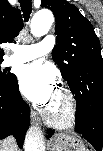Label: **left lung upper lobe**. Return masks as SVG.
<instances>
[{
  "label": "left lung upper lobe",
  "instance_id": "left-lung-upper-lobe-1",
  "mask_svg": "<svg viewBox=\"0 0 103 151\" xmlns=\"http://www.w3.org/2000/svg\"><path fill=\"white\" fill-rule=\"evenodd\" d=\"M41 6L55 16L57 44L52 55L68 84L87 76L91 63L103 64L98 37L76 6L66 0H43Z\"/></svg>",
  "mask_w": 103,
  "mask_h": 151
}]
</instances>
